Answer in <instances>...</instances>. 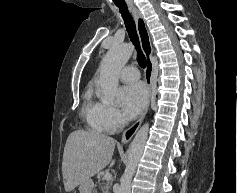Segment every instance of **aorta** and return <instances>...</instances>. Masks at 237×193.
<instances>
[{"label":"aorta","instance_id":"obj_1","mask_svg":"<svg viewBox=\"0 0 237 193\" xmlns=\"http://www.w3.org/2000/svg\"><path fill=\"white\" fill-rule=\"evenodd\" d=\"M132 44L115 43L104 56L100 64L98 84L102 92V101L112 103L119 95L118 75L133 53ZM149 124H144L136 133L128 152V162L120 179L117 193H130L132 178L142 156L148 138Z\"/></svg>","mask_w":237,"mask_h":193}]
</instances>
